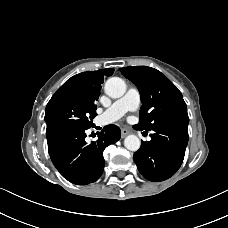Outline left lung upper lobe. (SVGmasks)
<instances>
[{"label":"left lung upper lobe","mask_w":228,"mask_h":228,"mask_svg":"<svg viewBox=\"0 0 228 228\" xmlns=\"http://www.w3.org/2000/svg\"><path fill=\"white\" fill-rule=\"evenodd\" d=\"M120 71L140 92V130L150 131L166 125H188L189 117L183 96L164 74L147 66H129Z\"/></svg>","instance_id":"left-lung-upper-lobe-1"}]
</instances>
